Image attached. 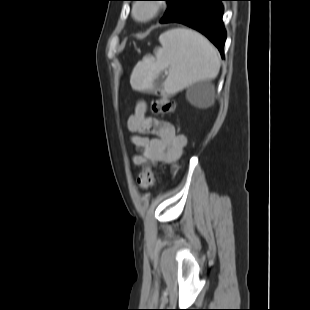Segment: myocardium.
<instances>
[{
    "mask_svg": "<svg viewBox=\"0 0 310 310\" xmlns=\"http://www.w3.org/2000/svg\"><path fill=\"white\" fill-rule=\"evenodd\" d=\"M161 9V5L154 2L135 4L132 14L137 21L147 22L154 19L160 13Z\"/></svg>",
    "mask_w": 310,
    "mask_h": 310,
    "instance_id": "obj_1",
    "label": "myocardium"
}]
</instances>
